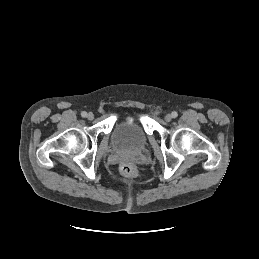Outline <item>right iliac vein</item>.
I'll use <instances>...</instances> for the list:
<instances>
[{
  "mask_svg": "<svg viewBox=\"0 0 259 259\" xmlns=\"http://www.w3.org/2000/svg\"><path fill=\"white\" fill-rule=\"evenodd\" d=\"M93 118H94L93 113L90 112V113L87 114V119L88 120H93Z\"/></svg>",
  "mask_w": 259,
  "mask_h": 259,
  "instance_id": "obj_1",
  "label": "right iliac vein"
}]
</instances>
